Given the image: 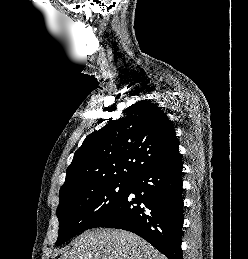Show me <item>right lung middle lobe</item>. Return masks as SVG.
<instances>
[{"mask_svg": "<svg viewBox=\"0 0 248 259\" xmlns=\"http://www.w3.org/2000/svg\"><path fill=\"white\" fill-rule=\"evenodd\" d=\"M130 181H106L69 190L57 208L59 237L56 246L76 233L104 223L127 193Z\"/></svg>", "mask_w": 248, "mask_h": 259, "instance_id": "obj_1", "label": "right lung middle lobe"}]
</instances>
